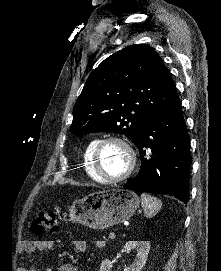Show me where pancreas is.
Wrapping results in <instances>:
<instances>
[{
  "label": "pancreas",
  "instance_id": "pancreas-1",
  "mask_svg": "<svg viewBox=\"0 0 221 271\" xmlns=\"http://www.w3.org/2000/svg\"><path fill=\"white\" fill-rule=\"evenodd\" d=\"M94 247H107V244L110 243L109 239H93Z\"/></svg>",
  "mask_w": 221,
  "mask_h": 271
}]
</instances>
